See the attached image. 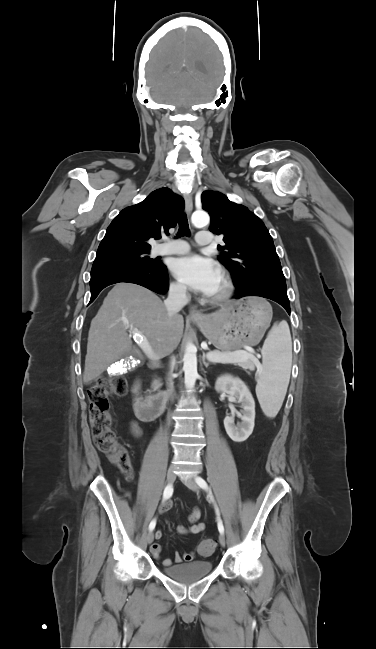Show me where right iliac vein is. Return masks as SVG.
I'll return each mask as SVG.
<instances>
[{
	"label": "right iliac vein",
	"mask_w": 376,
	"mask_h": 649,
	"mask_svg": "<svg viewBox=\"0 0 376 649\" xmlns=\"http://www.w3.org/2000/svg\"><path fill=\"white\" fill-rule=\"evenodd\" d=\"M174 481H175L174 468L171 467V468H169V470H168V472H167V482H168L169 484H172ZM146 539H147L148 544H151V543L153 542V540H154V533L152 532V530L149 531V533L147 534Z\"/></svg>",
	"instance_id": "1"
}]
</instances>
